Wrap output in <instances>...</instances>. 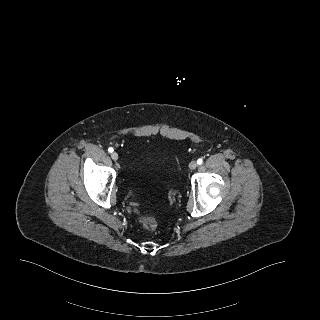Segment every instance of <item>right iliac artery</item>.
Listing matches in <instances>:
<instances>
[{"mask_svg":"<svg viewBox=\"0 0 320 320\" xmlns=\"http://www.w3.org/2000/svg\"><path fill=\"white\" fill-rule=\"evenodd\" d=\"M108 151H109L110 153H112L114 150H113L112 147H110V148H108Z\"/></svg>","mask_w":320,"mask_h":320,"instance_id":"1","label":"right iliac artery"}]
</instances>
